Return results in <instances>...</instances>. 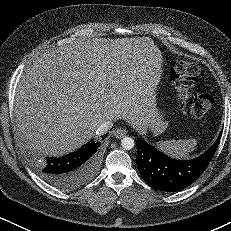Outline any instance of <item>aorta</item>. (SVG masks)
Masks as SVG:
<instances>
[{
    "mask_svg": "<svg viewBox=\"0 0 231 231\" xmlns=\"http://www.w3.org/2000/svg\"><path fill=\"white\" fill-rule=\"evenodd\" d=\"M121 145L125 150H131L134 147L135 142L134 139L131 137H124L121 140Z\"/></svg>",
    "mask_w": 231,
    "mask_h": 231,
    "instance_id": "1",
    "label": "aorta"
}]
</instances>
